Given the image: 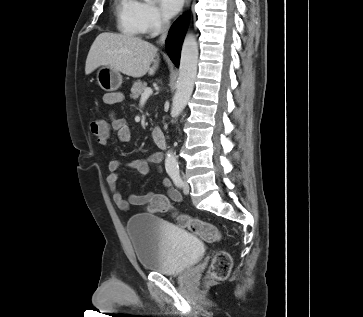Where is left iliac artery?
Segmentation results:
<instances>
[{"instance_id":"left-iliac-artery-1","label":"left iliac artery","mask_w":363,"mask_h":317,"mask_svg":"<svg viewBox=\"0 0 363 317\" xmlns=\"http://www.w3.org/2000/svg\"><path fill=\"white\" fill-rule=\"evenodd\" d=\"M169 175H170L171 179L173 180L174 184L177 187L182 186V180H181L179 171H177V170L176 171H171V172H169Z\"/></svg>"}]
</instances>
